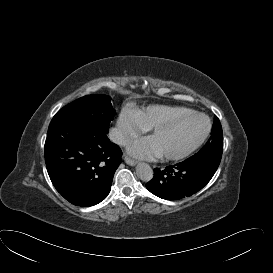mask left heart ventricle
Listing matches in <instances>:
<instances>
[{
  "mask_svg": "<svg viewBox=\"0 0 273 273\" xmlns=\"http://www.w3.org/2000/svg\"><path fill=\"white\" fill-rule=\"evenodd\" d=\"M204 129L203 119L190 118L171 128L159 131L150 142L160 153L175 154L194 144L201 137Z\"/></svg>",
  "mask_w": 273,
  "mask_h": 273,
  "instance_id": "b2bd125f",
  "label": "left heart ventricle"
}]
</instances>
